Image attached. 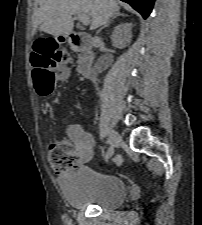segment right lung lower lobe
Listing matches in <instances>:
<instances>
[{"mask_svg": "<svg viewBox=\"0 0 202 225\" xmlns=\"http://www.w3.org/2000/svg\"><path fill=\"white\" fill-rule=\"evenodd\" d=\"M130 4L135 10H137L144 19H146L153 8L155 0H122Z\"/></svg>", "mask_w": 202, "mask_h": 225, "instance_id": "1", "label": "right lung lower lobe"}]
</instances>
